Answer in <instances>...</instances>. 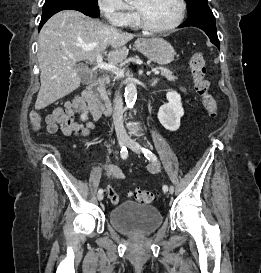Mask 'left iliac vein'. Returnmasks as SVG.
Wrapping results in <instances>:
<instances>
[{
    "mask_svg": "<svg viewBox=\"0 0 261 273\" xmlns=\"http://www.w3.org/2000/svg\"><path fill=\"white\" fill-rule=\"evenodd\" d=\"M126 145L134 152L141 153L140 148L136 144L134 140H132L130 137H126ZM167 192V191H166ZM169 192L172 194L174 191L169 189Z\"/></svg>",
    "mask_w": 261,
    "mask_h": 273,
    "instance_id": "4c4485c4",
    "label": "left iliac vein"
}]
</instances>
